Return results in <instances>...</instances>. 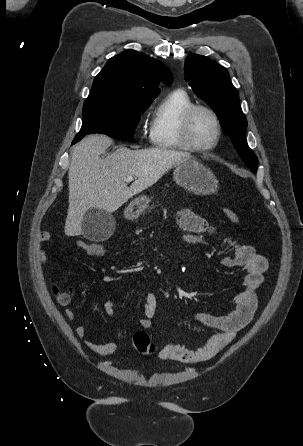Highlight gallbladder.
<instances>
[{
    "label": "gallbladder",
    "mask_w": 303,
    "mask_h": 446,
    "mask_svg": "<svg viewBox=\"0 0 303 446\" xmlns=\"http://www.w3.org/2000/svg\"><path fill=\"white\" fill-rule=\"evenodd\" d=\"M82 235L92 241L109 238L115 229L114 217L101 209L92 208L82 220Z\"/></svg>",
    "instance_id": "bac80fb5"
}]
</instances>
